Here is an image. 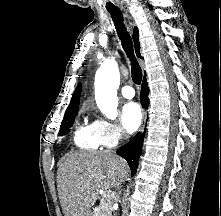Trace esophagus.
Masks as SVG:
<instances>
[{
    "label": "esophagus",
    "instance_id": "esophagus-1",
    "mask_svg": "<svg viewBox=\"0 0 221 216\" xmlns=\"http://www.w3.org/2000/svg\"><path fill=\"white\" fill-rule=\"evenodd\" d=\"M125 16L127 17L128 14L125 13ZM146 122H147V111L144 109L143 110V114H142V122H141V126H140V129H139L140 135H142L143 132H144V129H145V126H146Z\"/></svg>",
    "mask_w": 221,
    "mask_h": 216
}]
</instances>
